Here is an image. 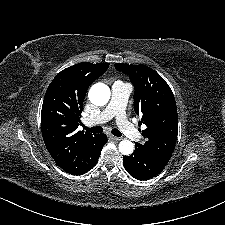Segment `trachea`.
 <instances>
[{
    "mask_svg": "<svg viewBox=\"0 0 225 225\" xmlns=\"http://www.w3.org/2000/svg\"><path fill=\"white\" fill-rule=\"evenodd\" d=\"M83 128L84 130H86V132H91V133H101L103 131V128L101 126H95L91 128L84 126ZM111 133L118 137L122 135V133L116 128L112 129Z\"/></svg>",
    "mask_w": 225,
    "mask_h": 225,
    "instance_id": "3493384b",
    "label": "trachea"
}]
</instances>
